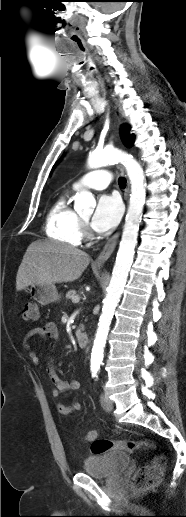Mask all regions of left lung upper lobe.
I'll return each instance as SVG.
<instances>
[{
	"mask_svg": "<svg viewBox=\"0 0 186 517\" xmlns=\"http://www.w3.org/2000/svg\"><path fill=\"white\" fill-rule=\"evenodd\" d=\"M129 132H130V127L123 125L122 129H121V137H122L124 144L127 147H131L133 145L134 138H135L134 135L130 134Z\"/></svg>",
	"mask_w": 186,
	"mask_h": 517,
	"instance_id": "left-lung-upper-lobe-1",
	"label": "left lung upper lobe"
}]
</instances>
